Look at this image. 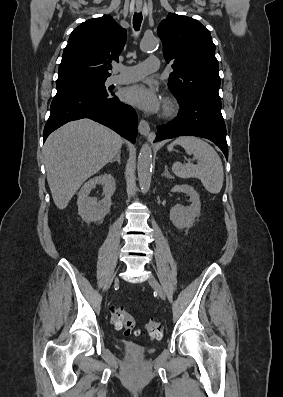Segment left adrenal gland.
Returning <instances> with one entry per match:
<instances>
[{
  "mask_svg": "<svg viewBox=\"0 0 283 397\" xmlns=\"http://www.w3.org/2000/svg\"><path fill=\"white\" fill-rule=\"evenodd\" d=\"M163 177L169 178V179H173L174 177L168 172V166L165 165V171L162 174Z\"/></svg>",
  "mask_w": 283,
  "mask_h": 397,
  "instance_id": "left-adrenal-gland-1",
  "label": "left adrenal gland"
}]
</instances>
